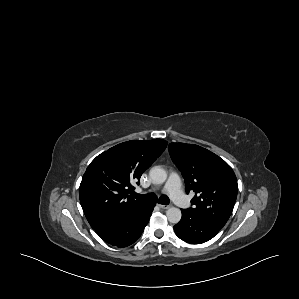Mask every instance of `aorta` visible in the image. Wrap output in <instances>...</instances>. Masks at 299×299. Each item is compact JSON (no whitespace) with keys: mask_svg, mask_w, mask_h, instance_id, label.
Listing matches in <instances>:
<instances>
[{"mask_svg":"<svg viewBox=\"0 0 299 299\" xmlns=\"http://www.w3.org/2000/svg\"><path fill=\"white\" fill-rule=\"evenodd\" d=\"M149 176L155 184H162L167 179L166 171L160 166L152 167ZM166 216L170 223L177 224L181 220L182 213L179 208L171 207L166 211Z\"/></svg>","mask_w":299,"mask_h":299,"instance_id":"obj_1","label":"aorta"}]
</instances>
